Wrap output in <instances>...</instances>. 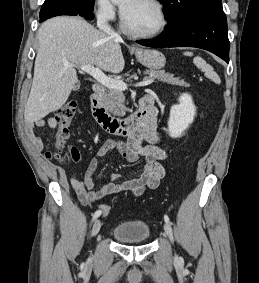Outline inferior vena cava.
I'll use <instances>...</instances> for the list:
<instances>
[{
	"label": "inferior vena cava",
	"mask_w": 259,
	"mask_h": 283,
	"mask_svg": "<svg viewBox=\"0 0 259 283\" xmlns=\"http://www.w3.org/2000/svg\"><path fill=\"white\" fill-rule=\"evenodd\" d=\"M97 27L104 32L106 35H108L111 38L114 39H120V36L118 33H116L108 24L107 17L105 13H100L97 17Z\"/></svg>",
	"instance_id": "obj_1"
}]
</instances>
